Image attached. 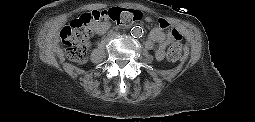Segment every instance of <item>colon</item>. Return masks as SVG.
I'll list each match as a JSON object with an SVG mask.
<instances>
[{"instance_id":"1","label":"colon","mask_w":255,"mask_h":122,"mask_svg":"<svg viewBox=\"0 0 255 122\" xmlns=\"http://www.w3.org/2000/svg\"><path fill=\"white\" fill-rule=\"evenodd\" d=\"M143 14L137 10H128L122 8H111L105 11H92L81 15L71 21L61 31V39L66 45V54L69 59L75 62H84L87 57L90 38L102 23H114L125 26L138 22ZM162 27L167 28L165 22H160ZM169 34L173 37L170 43L166 57L169 61H176L182 53L181 34L175 29H169Z\"/></svg>"}]
</instances>
